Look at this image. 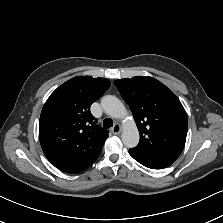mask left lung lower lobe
<instances>
[{
	"mask_svg": "<svg viewBox=\"0 0 223 223\" xmlns=\"http://www.w3.org/2000/svg\"><path fill=\"white\" fill-rule=\"evenodd\" d=\"M130 154L139 163H141L142 165H144L148 168H151V169H162V168H166L171 165L169 163L157 162V161H152V160H148L145 158L137 157L134 154H132L131 152H130Z\"/></svg>",
	"mask_w": 223,
	"mask_h": 223,
	"instance_id": "0a47b994",
	"label": "left lung lower lobe"
}]
</instances>
